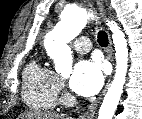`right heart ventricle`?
<instances>
[{"instance_id": "e07e8e85", "label": "right heart ventricle", "mask_w": 142, "mask_h": 119, "mask_svg": "<svg viewBox=\"0 0 142 119\" xmlns=\"http://www.w3.org/2000/svg\"><path fill=\"white\" fill-rule=\"evenodd\" d=\"M58 94L59 78L52 70L38 62L26 66L22 96L28 106L51 109L58 101Z\"/></svg>"}]
</instances>
